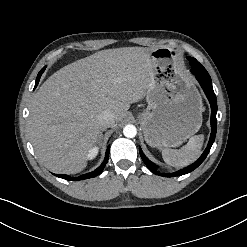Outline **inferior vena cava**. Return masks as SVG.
Instances as JSON below:
<instances>
[{"label": "inferior vena cava", "mask_w": 247, "mask_h": 247, "mask_svg": "<svg viewBox=\"0 0 247 247\" xmlns=\"http://www.w3.org/2000/svg\"><path fill=\"white\" fill-rule=\"evenodd\" d=\"M98 120L100 126L104 129L114 125L116 117L115 114L111 111H103L99 116Z\"/></svg>", "instance_id": "inferior-vena-cava-1"}]
</instances>
